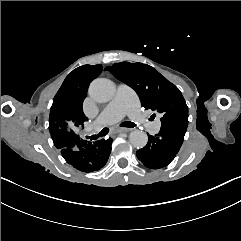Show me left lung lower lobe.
Here are the masks:
<instances>
[{
    "label": "left lung lower lobe",
    "instance_id": "0a47b994",
    "mask_svg": "<svg viewBox=\"0 0 241 241\" xmlns=\"http://www.w3.org/2000/svg\"><path fill=\"white\" fill-rule=\"evenodd\" d=\"M188 124L168 123L161 126L155 137L148 135L147 145L136 152L137 158L148 168L167 166L179 152Z\"/></svg>",
    "mask_w": 241,
    "mask_h": 241
}]
</instances>
